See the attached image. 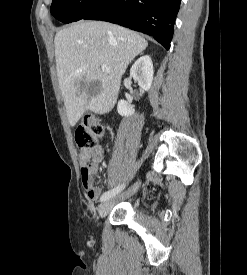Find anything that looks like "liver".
Instances as JSON below:
<instances>
[{"instance_id": "1", "label": "liver", "mask_w": 247, "mask_h": 275, "mask_svg": "<svg viewBox=\"0 0 247 275\" xmlns=\"http://www.w3.org/2000/svg\"><path fill=\"white\" fill-rule=\"evenodd\" d=\"M54 45L61 94L69 124L75 126L87 110L106 114L113 109L123 74L148 42L119 25L80 21L58 31ZM102 65L110 71L103 72Z\"/></svg>"}]
</instances>
